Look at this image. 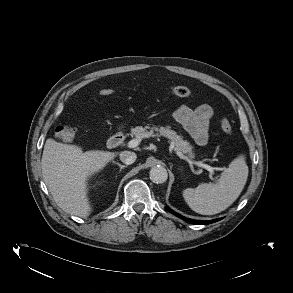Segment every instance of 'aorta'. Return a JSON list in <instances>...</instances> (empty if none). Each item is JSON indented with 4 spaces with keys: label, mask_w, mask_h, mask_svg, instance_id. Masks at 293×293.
Listing matches in <instances>:
<instances>
[{
    "label": "aorta",
    "mask_w": 293,
    "mask_h": 293,
    "mask_svg": "<svg viewBox=\"0 0 293 293\" xmlns=\"http://www.w3.org/2000/svg\"><path fill=\"white\" fill-rule=\"evenodd\" d=\"M150 179L154 183L161 184L168 179L167 170L162 166H154L150 170Z\"/></svg>",
    "instance_id": "obj_1"
}]
</instances>
